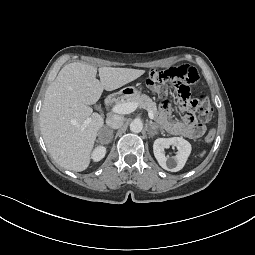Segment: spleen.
<instances>
[{"label":"spleen","mask_w":255,"mask_h":255,"mask_svg":"<svg viewBox=\"0 0 255 255\" xmlns=\"http://www.w3.org/2000/svg\"><path fill=\"white\" fill-rule=\"evenodd\" d=\"M206 154V150L202 151V153L200 154V157H203Z\"/></svg>","instance_id":"1"}]
</instances>
